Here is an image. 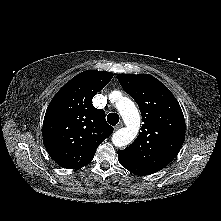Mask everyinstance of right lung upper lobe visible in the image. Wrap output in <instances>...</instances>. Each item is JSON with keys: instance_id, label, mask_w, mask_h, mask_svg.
Returning <instances> with one entry per match:
<instances>
[{"instance_id": "right-lung-upper-lobe-1", "label": "right lung upper lobe", "mask_w": 221, "mask_h": 221, "mask_svg": "<svg viewBox=\"0 0 221 221\" xmlns=\"http://www.w3.org/2000/svg\"><path fill=\"white\" fill-rule=\"evenodd\" d=\"M106 71L87 70L72 78L53 97L43 121V142L61 167L78 169L94 157L97 147L113 132L105 113L92 98L112 79Z\"/></svg>"}]
</instances>
